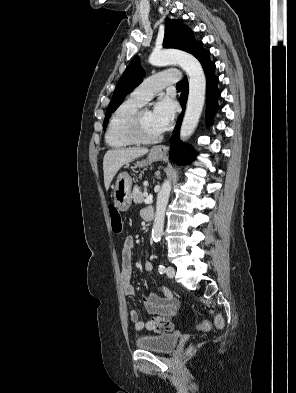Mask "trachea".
Listing matches in <instances>:
<instances>
[{
	"label": "trachea",
	"instance_id": "1",
	"mask_svg": "<svg viewBox=\"0 0 296 393\" xmlns=\"http://www.w3.org/2000/svg\"><path fill=\"white\" fill-rule=\"evenodd\" d=\"M176 87H183V83L182 82H178Z\"/></svg>",
	"mask_w": 296,
	"mask_h": 393
}]
</instances>
